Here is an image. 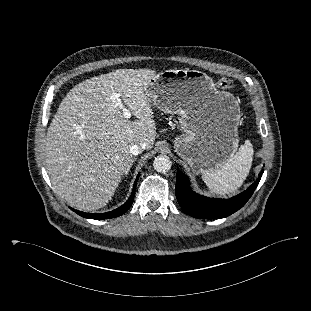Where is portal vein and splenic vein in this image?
I'll use <instances>...</instances> for the list:
<instances>
[{
	"label": "portal vein and splenic vein",
	"mask_w": 311,
	"mask_h": 311,
	"mask_svg": "<svg viewBox=\"0 0 311 311\" xmlns=\"http://www.w3.org/2000/svg\"><path fill=\"white\" fill-rule=\"evenodd\" d=\"M110 99L113 101L116 107H119L122 110L124 118L129 119L131 117L130 110L124 107L120 99V94L113 93Z\"/></svg>",
	"instance_id": "portal-vein-and-splenic-vein-1"
}]
</instances>
